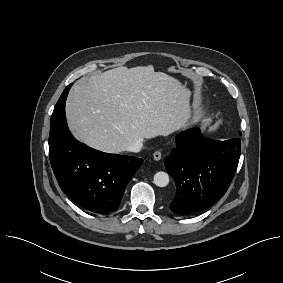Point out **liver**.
<instances>
[{
	"label": "liver",
	"instance_id": "liver-1",
	"mask_svg": "<svg viewBox=\"0 0 283 283\" xmlns=\"http://www.w3.org/2000/svg\"><path fill=\"white\" fill-rule=\"evenodd\" d=\"M66 117L78 140L121 153L133 141L185 129L191 118L190 91L152 65L118 67L79 80L69 93Z\"/></svg>",
	"mask_w": 283,
	"mask_h": 283
}]
</instances>
